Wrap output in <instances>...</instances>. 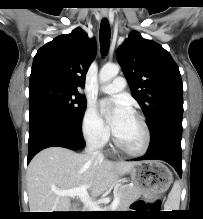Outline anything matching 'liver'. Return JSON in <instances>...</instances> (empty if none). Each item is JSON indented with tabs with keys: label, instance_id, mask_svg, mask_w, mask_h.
I'll return each instance as SVG.
<instances>
[{
	"label": "liver",
	"instance_id": "obj_1",
	"mask_svg": "<svg viewBox=\"0 0 203 219\" xmlns=\"http://www.w3.org/2000/svg\"><path fill=\"white\" fill-rule=\"evenodd\" d=\"M136 162H112L63 147L39 152L27 169V191L31 212H74L69 196L56 191L86 185L92 197H99L129 173Z\"/></svg>",
	"mask_w": 203,
	"mask_h": 219
}]
</instances>
